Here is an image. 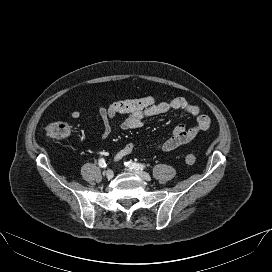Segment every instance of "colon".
<instances>
[{
	"label": "colon",
	"instance_id": "1",
	"mask_svg": "<svg viewBox=\"0 0 272 272\" xmlns=\"http://www.w3.org/2000/svg\"><path fill=\"white\" fill-rule=\"evenodd\" d=\"M45 136L49 139L60 140L69 137L72 133V126L65 121H53L48 123L44 128ZM185 162L192 165L196 162V156L194 154H187L185 156Z\"/></svg>",
	"mask_w": 272,
	"mask_h": 272
}]
</instances>
